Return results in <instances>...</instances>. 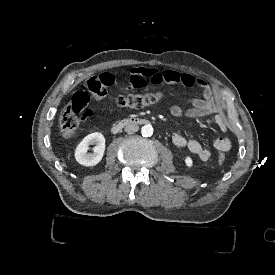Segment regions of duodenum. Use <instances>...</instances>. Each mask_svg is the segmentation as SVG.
Masks as SVG:
<instances>
[{
  "label": "duodenum",
  "mask_w": 275,
  "mask_h": 275,
  "mask_svg": "<svg viewBox=\"0 0 275 275\" xmlns=\"http://www.w3.org/2000/svg\"><path fill=\"white\" fill-rule=\"evenodd\" d=\"M150 121L145 118V117H141V116H138V117H127V118H124L120 121H118L117 123H115L112 127H111V131L113 133L119 131L120 129H122L123 127L125 126H130V125H146L148 124Z\"/></svg>",
  "instance_id": "obj_1"
}]
</instances>
